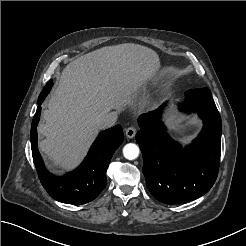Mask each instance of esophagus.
<instances>
[{
    "mask_svg": "<svg viewBox=\"0 0 246 246\" xmlns=\"http://www.w3.org/2000/svg\"><path fill=\"white\" fill-rule=\"evenodd\" d=\"M136 128L135 127H129L126 129L125 134L128 138H133L136 135Z\"/></svg>",
    "mask_w": 246,
    "mask_h": 246,
    "instance_id": "1",
    "label": "esophagus"
}]
</instances>
